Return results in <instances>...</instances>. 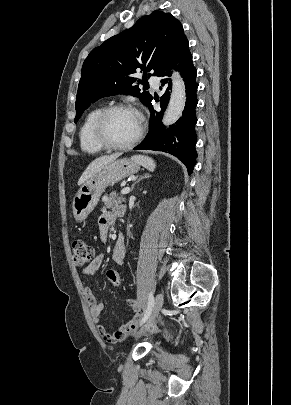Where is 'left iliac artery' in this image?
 Masks as SVG:
<instances>
[{
    "instance_id": "1",
    "label": "left iliac artery",
    "mask_w": 291,
    "mask_h": 405,
    "mask_svg": "<svg viewBox=\"0 0 291 405\" xmlns=\"http://www.w3.org/2000/svg\"><path fill=\"white\" fill-rule=\"evenodd\" d=\"M153 305H154V298H153V295H152V293H150L149 294V298H148V305H147V309H146V311H145V313H144V316H143V318H142V320H141V325L143 324V323H145V321L149 318V316H150V314H151V312H152V309H153Z\"/></svg>"
}]
</instances>
